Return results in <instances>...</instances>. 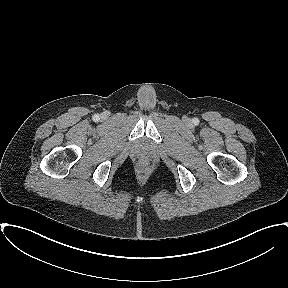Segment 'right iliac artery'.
<instances>
[{"label":"right iliac artery","mask_w":288,"mask_h":288,"mask_svg":"<svg viewBox=\"0 0 288 288\" xmlns=\"http://www.w3.org/2000/svg\"><path fill=\"white\" fill-rule=\"evenodd\" d=\"M93 119L94 120H98L99 119V115H94Z\"/></svg>","instance_id":"right-iliac-artery-1"}]
</instances>
